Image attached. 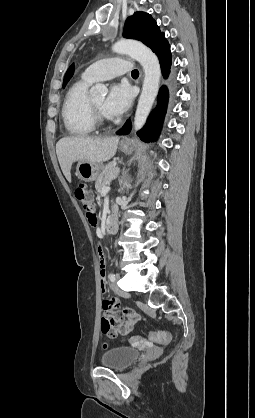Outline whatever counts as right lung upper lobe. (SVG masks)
Returning a JSON list of instances; mask_svg holds the SVG:
<instances>
[{
  "label": "right lung upper lobe",
  "instance_id": "cb5924a9",
  "mask_svg": "<svg viewBox=\"0 0 255 418\" xmlns=\"http://www.w3.org/2000/svg\"><path fill=\"white\" fill-rule=\"evenodd\" d=\"M73 72H74V64H72V65L69 67V69H68V71H67V73H66V75H65V78H64L63 86H64V85H66V84H67V82L70 80V78H71V77H72V75H73Z\"/></svg>",
  "mask_w": 255,
  "mask_h": 418
}]
</instances>
